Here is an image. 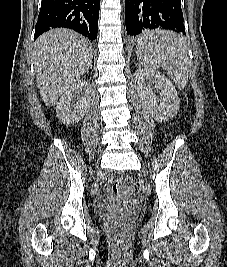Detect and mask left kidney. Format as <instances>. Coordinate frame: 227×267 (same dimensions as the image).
Listing matches in <instances>:
<instances>
[{"label":"left kidney","mask_w":227,"mask_h":267,"mask_svg":"<svg viewBox=\"0 0 227 267\" xmlns=\"http://www.w3.org/2000/svg\"><path fill=\"white\" fill-rule=\"evenodd\" d=\"M135 82L145 108L155 120L165 121L177 114L180 100L166 76L151 69H139L135 72ZM156 90L161 91L159 97Z\"/></svg>","instance_id":"obj_1"}]
</instances>
